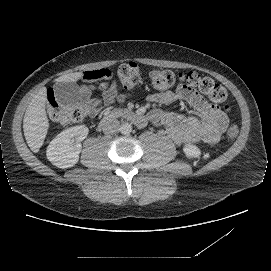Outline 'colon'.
Wrapping results in <instances>:
<instances>
[{
	"instance_id": "1",
	"label": "colon",
	"mask_w": 271,
	"mask_h": 271,
	"mask_svg": "<svg viewBox=\"0 0 271 271\" xmlns=\"http://www.w3.org/2000/svg\"><path fill=\"white\" fill-rule=\"evenodd\" d=\"M118 86L121 90H130L137 86L141 81V73L138 64L135 62H126L121 64L116 71ZM111 73H106L97 82L109 80ZM149 89L153 93H161L172 87L177 82H183L187 86L197 89L204 94L214 105L224 111L229 107L222 106L226 100V89L216 84L209 77H202L196 72L176 73L172 70L153 69L148 74ZM95 107V106H93ZM91 112V107H82L78 105H63L59 103L53 91L48 93L47 114L51 120L59 124H72L83 121ZM228 139L233 140L238 135V128L232 125L228 129Z\"/></svg>"
}]
</instances>
